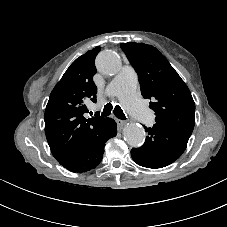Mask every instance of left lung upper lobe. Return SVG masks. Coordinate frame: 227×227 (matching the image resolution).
Instances as JSON below:
<instances>
[{"mask_svg": "<svg viewBox=\"0 0 227 227\" xmlns=\"http://www.w3.org/2000/svg\"><path fill=\"white\" fill-rule=\"evenodd\" d=\"M121 48L136 70L144 98L152 99L156 124L191 136L195 103L191 93L159 50L144 43H122Z\"/></svg>", "mask_w": 227, "mask_h": 227, "instance_id": "obj_1", "label": "left lung upper lobe"}]
</instances>
